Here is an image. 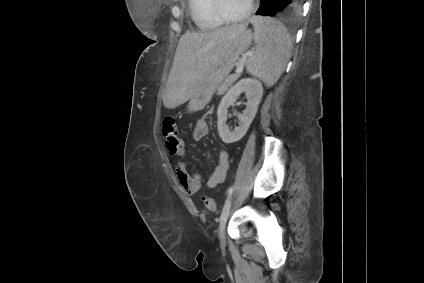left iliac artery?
<instances>
[{
	"mask_svg": "<svg viewBox=\"0 0 424 283\" xmlns=\"http://www.w3.org/2000/svg\"><path fill=\"white\" fill-rule=\"evenodd\" d=\"M233 190H234L233 186L228 189V199L231 196V194L233 193Z\"/></svg>",
	"mask_w": 424,
	"mask_h": 283,
	"instance_id": "obj_1",
	"label": "left iliac artery"
}]
</instances>
